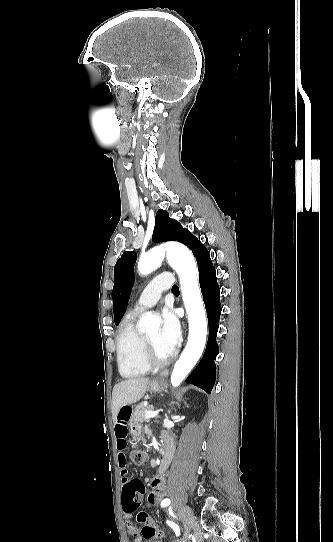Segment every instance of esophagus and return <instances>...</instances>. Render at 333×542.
<instances>
[{
  "label": "esophagus",
  "instance_id": "obj_1",
  "mask_svg": "<svg viewBox=\"0 0 333 542\" xmlns=\"http://www.w3.org/2000/svg\"><path fill=\"white\" fill-rule=\"evenodd\" d=\"M167 375H168V370L167 369L161 370V372L159 374V377L154 379L153 382H157L159 378L166 377Z\"/></svg>",
  "mask_w": 333,
  "mask_h": 542
}]
</instances>
